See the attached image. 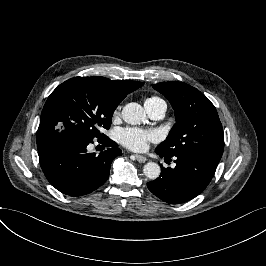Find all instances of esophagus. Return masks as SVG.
<instances>
[{
	"label": "esophagus",
	"mask_w": 266,
	"mask_h": 266,
	"mask_svg": "<svg viewBox=\"0 0 266 266\" xmlns=\"http://www.w3.org/2000/svg\"><path fill=\"white\" fill-rule=\"evenodd\" d=\"M135 159L140 162V163H144L147 161V158L144 157L143 155H139V154H134Z\"/></svg>",
	"instance_id": "34e87169"
}]
</instances>
